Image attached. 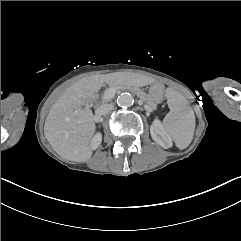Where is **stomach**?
<instances>
[{
	"label": "stomach",
	"instance_id": "1",
	"mask_svg": "<svg viewBox=\"0 0 241 241\" xmlns=\"http://www.w3.org/2000/svg\"><path fill=\"white\" fill-rule=\"evenodd\" d=\"M165 86L162 83H155L149 88V97L156 103L162 102Z\"/></svg>",
	"mask_w": 241,
	"mask_h": 241
}]
</instances>
